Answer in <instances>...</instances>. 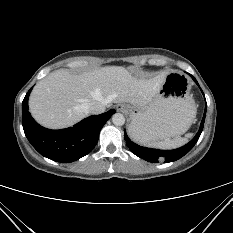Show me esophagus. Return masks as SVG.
<instances>
[{"mask_svg": "<svg viewBox=\"0 0 233 233\" xmlns=\"http://www.w3.org/2000/svg\"><path fill=\"white\" fill-rule=\"evenodd\" d=\"M117 111L124 112L125 111L124 106L123 105H118L117 106Z\"/></svg>", "mask_w": 233, "mask_h": 233, "instance_id": "obj_1", "label": "esophagus"}]
</instances>
